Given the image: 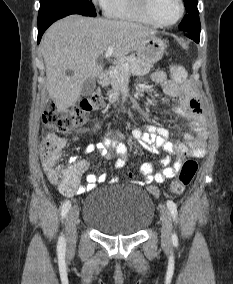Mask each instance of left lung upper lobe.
<instances>
[{
    "label": "left lung upper lobe",
    "mask_w": 233,
    "mask_h": 284,
    "mask_svg": "<svg viewBox=\"0 0 233 284\" xmlns=\"http://www.w3.org/2000/svg\"><path fill=\"white\" fill-rule=\"evenodd\" d=\"M186 14L179 25V29L183 32L200 33V20L198 16L197 0H184Z\"/></svg>",
    "instance_id": "obj_1"
}]
</instances>
